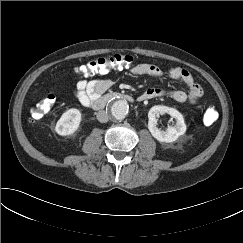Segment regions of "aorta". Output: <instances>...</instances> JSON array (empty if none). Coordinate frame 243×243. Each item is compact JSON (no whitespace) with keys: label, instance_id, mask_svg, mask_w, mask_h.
Masks as SVG:
<instances>
[{"label":"aorta","instance_id":"762f6f07","mask_svg":"<svg viewBox=\"0 0 243 243\" xmlns=\"http://www.w3.org/2000/svg\"><path fill=\"white\" fill-rule=\"evenodd\" d=\"M129 111V105L127 101L119 99L115 100L110 108L111 115L117 119L122 120L126 117Z\"/></svg>","mask_w":243,"mask_h":243}]
</instances>
